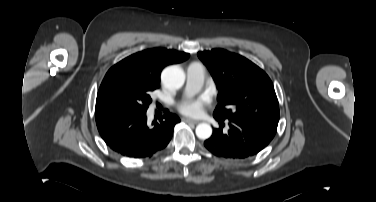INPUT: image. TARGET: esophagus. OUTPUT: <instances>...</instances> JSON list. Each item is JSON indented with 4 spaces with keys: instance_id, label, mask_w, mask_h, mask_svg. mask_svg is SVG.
<instances>
[{
    "instance_id": "obj_1",
    "label": "esophagus",
    "mask_w": 376,
    "mask_h": 202,
    "mask_svg": "<svg viewBox=\"0 0 376 202\" xmlns=\"http://www.w3.org/2000/svg\"><path fill=\"white\" fill-rule=\"evenodd\" d=\"M183 121L188 122V123H193V124H197L199 122L197 120H194V119H191V118H187V117H184Z\"/></svg>"
}]
</instances>
